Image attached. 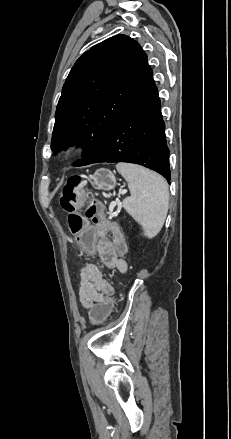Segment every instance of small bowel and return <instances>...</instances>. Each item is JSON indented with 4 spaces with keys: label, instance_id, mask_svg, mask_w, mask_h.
<instances>
[{
    "label": "small bowel",
    "instance_id": "small-bowel-1",
    "mask_svg": "<svg viewBox=\"0 0 231 439\" xmlns=\"http://www.w3.org/2000/svg\"><path fill=\"white\" fill-rule=\"evenodd\" d=\"M96 252L102 264L107 268L126 270V262L119 256L116 241L102 239L96 246ZM114 293L113 285L103 276L96 263H88L80 273L79 300L82 306L89 310L99 298Z\"/></svg>",
    "mask_w": 231,
    "mask_h": 439
}]
</instances>
